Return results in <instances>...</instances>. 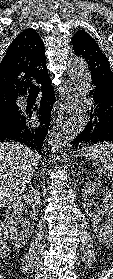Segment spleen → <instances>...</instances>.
Instances as JSON below:
<instances>
[{
  "label": "spleen",
  "instance_id": "obj_1",
  "mask_svg": "<svg viewBox=\"0 0 113 279\" xmlns=\"http://www.w3.org/2000/svg\"><path fill=\"white\" fill-rule=\"evenodd\" d=\"M81 154L96 161L97 164L102 163L113 181V143H97L83 147Z\"/></svg>",
  "mask_w": 113,
  "mask_h": 279
}]
</instances>
